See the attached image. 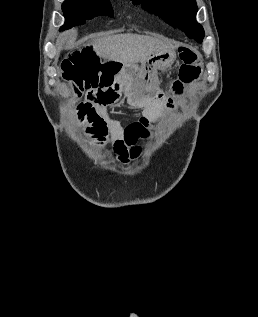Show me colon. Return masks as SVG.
Instances as JSON below:
<instances>
[{
  "instance_id": "colon-1",
  "label": "colon",
  "mask_w": 258,
  "mask_h": 317,
  "mask_svg": "<svg viewBox=\"0 0 258 317\" xmlns=\"http://www.w3.org/2000/svg\"><path fill=\"white\" fill-rule=\"evenodd\" d=\"M182 65L179 79L173 85L175 96L182 93L184 87L196 80L202 72V63L198 52L189 47L180 49ZM121 65L114 60L102 59L96 46L86 44L73 51L62 64V77L72 84L75 96L80 97L85 91L103 85L111 80ZM174 98L169 99V106Z\"/></svg>"
}]
</instances>
